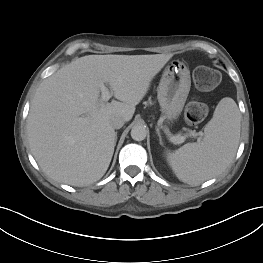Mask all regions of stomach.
<instances>
[{"instance_id": "0dacf381", "label": "stomach", "mask_w": 263, "mask_h": 263, "mask_svg": "<svg viewBox=\"0 0 263 263\" xmlns=\"http://www.w3.org/2000/svg\"><path fill=\"white\" fill-rule=\"evenodd\" d=\"M191 87L190 71L183 62L173 60L164 69L157 98L161 112L168 121L181 114Z\"/></svg>"}]
</instances>
